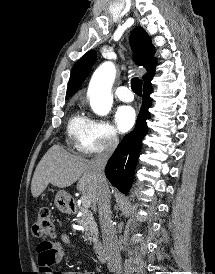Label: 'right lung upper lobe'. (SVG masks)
<instances>
[{
	"label": "right lung upper lobe",
	"mask_w": 215,
	"mask_h": 274,
	"mask_svg": "<svg viewBox=\"0 0 215 274\" xmlns=\"http://www.w3.org/2000/svg\"><path fill=\"white\" fill-rule=\"evenodd\" d=\"M130 43L134 53L135 62L147 69V74L143 77L144 85L150 84L156 66V59L154 58L155 49L151 39L143 28L137 27L131 33ZM95 59L96 51H89L75 63L70 75L66 98L71 97L80 87L82 81L90 72Z\"/></svg>",
	"instance_id": "obj_1"
}]
</instances>
